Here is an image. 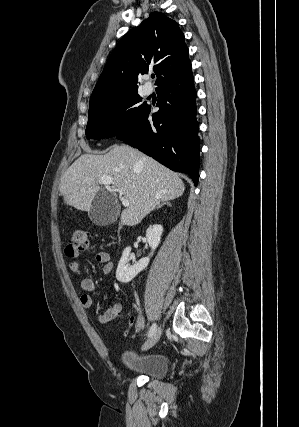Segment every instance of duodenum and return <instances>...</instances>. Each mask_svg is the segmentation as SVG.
<instances>
[{"instance_id":"410a0bca","label":"duodenum","mask_w":299,"mask_h":427,"mask_svg":"<svg viewBox=\"0 0 299 427\" xmlns=\"http://www.w3.org/2000/svg\"><path fill=\"white\" fill-rule=\"evenodd\" d=\"M123 236V226H120V237L122 238Z\"/></svg>"}]
</instances>
